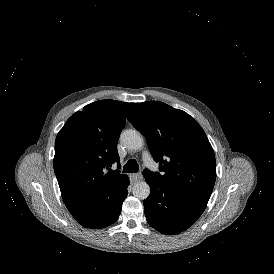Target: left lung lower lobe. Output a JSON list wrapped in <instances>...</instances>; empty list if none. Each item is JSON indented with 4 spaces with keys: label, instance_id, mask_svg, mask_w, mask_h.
Segmentation results:
<instances>
[{
    "label": "left lung lower lobe",
    "instance_id": "obj_1",
    "mask_svg": "<svg viewBox=\"0 0 274 274\" xmlns=\"http://www.w3.org/2000/svg\"><path fill=\"white\" fill-rule=\"evenodd\" d=\"M150 195L143 201L148 223L165 234H178L189 228L202 214L208 199L185 194L158 180L145 177Z\"/></svg>",
    "mask_w": 274,
    "mask_h": 274
}]
</instances>
